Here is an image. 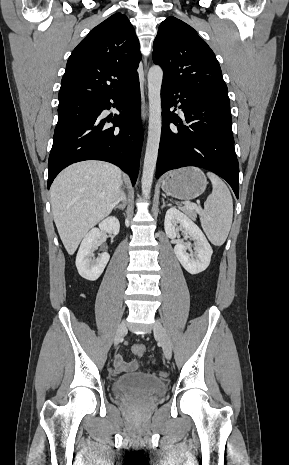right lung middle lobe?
<instances>
[{"instance_id":"dd1d6c3e","label":"right lung middle lobe","mask_w":289,"mask_h":465,"mask_svg":"<svg viewBox=\"0 0 289 465\" xmlns=\"http://www.w3.org/2000/svg\"><path fill=\"white\" fill-rule=\"evenodd\" d=\"M95 101H77L59 105L58 123L55 130L61 129L77 120L89 117Z\"/></svg>"}]
</instances>
